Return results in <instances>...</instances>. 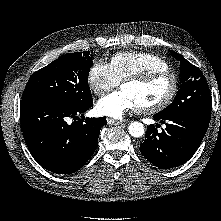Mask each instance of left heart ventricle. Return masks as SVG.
Masks as SVG:
<instances>
[{"label":"left heart ventricle","instance_id":"1","mask_svg":"<svg viewBox=\"0 0 221 221\" xmlns=\"http://www.w3.org/2000/svg\"><path fill=\"white\" fill-rule=\"evenodd\" d=\"M170 88L171 81L168 78H160L145 85L127 83L122 86V90L129 93L139 107L159 103L167 96Z\"/></svg>","mask_w":221,"mask_h":221}]
</instances>
